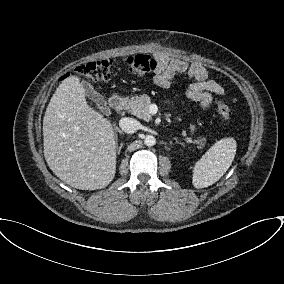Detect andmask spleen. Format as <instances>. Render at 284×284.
<instances>
[{
    "instance_id": "1",
    "label": "spleen",
    "mask_w": 284,
    "mask_h": 284,
    "mask_svg": "<svg viewBox=\"0 0 284 284\" xmlns=\"http://www.w3.org/2000/svg\"><path fill=\"white\" fill-rule=\"evenodd\" d=\"M236 147L233 138H223L211 146L195 163L192 177L194 187L205 188L217 182L231 166Z\"/></svg>"
}]
</instances>
